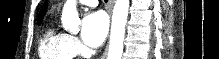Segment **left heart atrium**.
<instances>
[{"label":"left heart atrium","mask_w":219,"mask_h":59,"mask_svg":"<svg viewBox=\"0 0 219 59\" xmlns=\"http://www.w3.org/2000/svg\"><path fill=\"white\" fill-rule=\"evenodd\" d=\"M108 32V20L101 11L90 12L85 15L82 23L81 38L90 47L100 46Z\"/></svg>","instance_id":"39dd6f15"}]
</instances>
